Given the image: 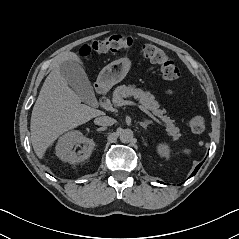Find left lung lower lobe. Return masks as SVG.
Instances as JSON below:
<instances>
[{
	"label": "left lung lower lobe",
	"instance_id": "0a47b994",
	"mask_svg": "<svg viewBox=\"0 0 239 239\" xmlns=\"http://www.w3.org/2000/svg\"><path fill=\"white\" fill-rule=\"evenodd\" d=\"M202 163H203V162H202ZM202 163H200V164L195 168L194 172L191 174L190 177L194 176V175L197 173V171L199 170V168H200V166L202 165Z\"/></svg>",
	"mask_w": 239,
	"mask_h": 239
}]
</instances>
